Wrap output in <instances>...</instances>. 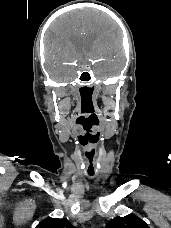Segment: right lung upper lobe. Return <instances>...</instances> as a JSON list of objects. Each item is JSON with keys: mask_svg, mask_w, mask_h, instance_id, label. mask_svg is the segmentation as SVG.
<instances>
[{"mask_svg": "<svg viewBox=\"0 0 171 228\" xmlns=\"http://www.w3.org/2000/svg\"><path fill=\"white\" fill-rule=\"evenodd\" d=\"M36 228H74L70 222L65 219L48 218L41 221Z\"/></svg>", "mask_w": 171, "mask_h": 228, "instance_id": "right-lung-upper-lobe-1", "label": "right lung upper lobe"}]
</instances>
